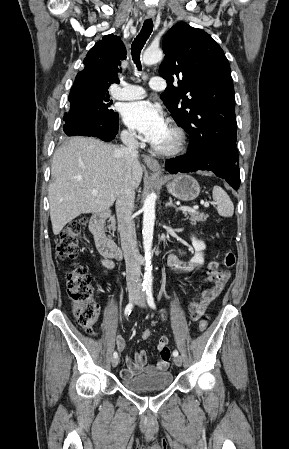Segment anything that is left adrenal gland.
Returning <instances> with one entry per match:
<instances>
[{"label":"left adrenal gland","mask_w":289,"mask_h":449,"mask_svg":"<svg viewBox=\"0 0 289 449\" xmlns=\"http://www.w3.org/2000/svg\"><path fill=\"white\" fill-rule=\"evenodd\" d=\"M166 207H173L176 208V210H178V208L172 203V198H169V202L166 203Z\"/></svg>","instance_id":"1"}]
</instances>
